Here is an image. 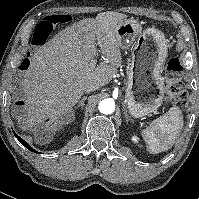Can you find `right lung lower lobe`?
Instances as JSON below:
<instances>
[{"label":"right lung lower lobe","mask_w":199,"mask_h":199,"mask_svg":"<svg viewBox=\"0 0 199 199\" xmlns=\"http://www.w3.org/2000/svg\"><path fill=\"white\" fill-rule=\"evenodd\" d=\"M14 135L16 136V138L19 140V142L24 145L27 149H29L30 151L34 152V153H39L36 150H34L27 142H25L22 138H20L16 133H14Z\"/></svg>","instance_id":"right-lung-lower-lobe-1"}]
</instances>
